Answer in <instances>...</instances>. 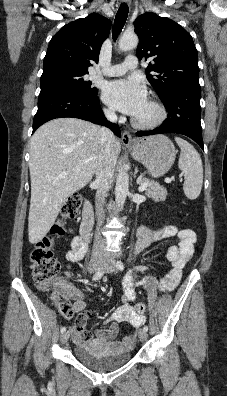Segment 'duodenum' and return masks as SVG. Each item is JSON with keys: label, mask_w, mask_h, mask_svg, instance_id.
Instances as JSON below:
<instances>
[{"label": "duodenum", "mask_w": 227, "mask_h": 396, "mask_svg": "<svg viewBox=\"0 0 227 396\" xmlns=\"http://www.w3.org/2000/svg\"><path fill=\"white\" fill-rule=\"evenodd\" d=\"M93 223H94L93 207L91 202L88 199H86L84 201L82 222L80 225V238L85 244L90 238Z\"/></svg>", "instance_id": "duodenum-1"}]
</instances>
